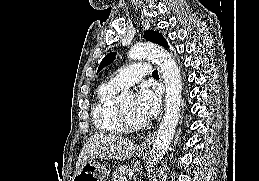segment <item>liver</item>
Listing matches in <instances>:
<instances>
[{"instance_id":"obj_1","label":"liver","mask_w":259,"mask_h":181,"mask_svg":"<svg viewBox=\"0 0 259 181\" xmlns=\"http://www.w3.org/2000/svg\"><path fill=\"white\" fill-rule=\"evenodd\" d=\"M136 149L130 140L112 133H96L92 135L83 146L79 154L76 169L96 158L101 159H129Z\"/></svg>"}]
</instances>
